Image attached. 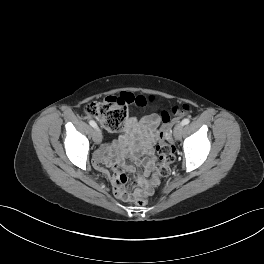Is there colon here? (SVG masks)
I'll return each mask as SVG.
<instances>
[{"mask_svg": "<svg viewBox=\"0 0 264 264\" xmlns=\"http://www.w3.org/2000/svg\"><path fill=\"white\" fill-rule=\"evenodd\" d=\"M147 99L141 95H134L129 92H122L117 96H109L100 102H89L85 107V112L88 117L99 121L108 131H117L123 125L129 109L131 107L142 108L146 106ZM190 107L183 105L176 106L172 109V114L178 117L189 113ZM158 119L161 122V129L158 132L157 153L159 161L155 168V175L152 181L146 184L144 192L137 186L142 185V182L127 187L126 192L120 196L123 199L133 200L138 206H145L148 203V196L153 193V186L158 183L160 177H167L170 174V165L175 160V149L168 142L166 128L170 124V114L161 110L158 114Z\"/></svg>", "mask_w": 264, "mask_h": 264, "instance_id": "obj_1", "label": "colon"}]
</instances>
